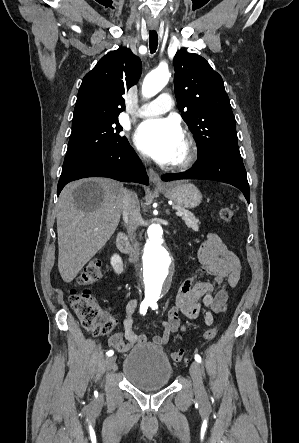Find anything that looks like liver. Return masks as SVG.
Segmentation results:
<instances>
[{
  "label": "liver",
  "mask_w": 299,
  "mask_h": 443,
  "mask_svg": "<svg viewBox=\"0 0 299 443\" xmlns=\"http://www.w3.org/2000/svg\"><path fill=\"white\" fill-rule=\"evenodd\" d=\"M123 184L107 178L71 182L57 203L58 269L70 283L115 232Z\"/></svg>",
  "instance_id": "6515ba94"
}]
</instances>
